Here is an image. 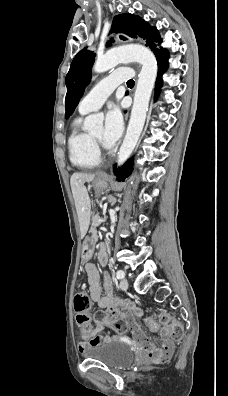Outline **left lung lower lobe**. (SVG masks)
<instances>
[{"mask_svg": "<svg viewBox=\"0 0 228 396\" xmlns=\"http://www.w3.org/2000/svg\"><path fill=\"white\" fill-rule=\"evenodd\" d=\"M154 42H161L160 36L154 38L148 46L154 51V54L156 55L157 62H158V77L156 81V91H158L162 85V74L165 72V70L168 67V57L169 53L166 49H157L156 44ZM131 168H132V161L126 162L122 167L119 169L116 168V165H114L113 171L115 172V175L117 176L118 181H124L125 177H128L131 173Z\"/></svg>", "mask_w": 228, "mask_h": 396, "instance_id": "obj_1", "label": "left lung lower lobe"}]
</instances>
